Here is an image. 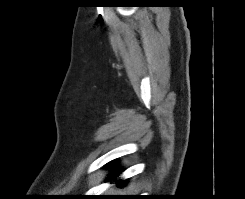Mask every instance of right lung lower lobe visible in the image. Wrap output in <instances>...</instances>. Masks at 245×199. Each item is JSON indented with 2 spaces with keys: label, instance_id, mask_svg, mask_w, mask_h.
<instances>
[{
  "label": "right lung lower lobe",
  "instance_id": "obj_1",
  "mask_svg": "<svg viewBox=\"0 0 245 199\" xmlns=\"http://www.w3.org/2000/svg\"><path fill=\"white\" fill-rule=\"evenodd\" d=\"M113 165H114V161L108 163V166H113ZM119 173H120V170H117V172H114L113 174H110L106 181H109V180H112V179L116 178L119 175ZM125 184H126L125 180L124 181H119L117 183V186L121 187V186H124Z\"/></svg>",
  "mask_w": 245,
  "mask_h": 199
}]
</instances>
